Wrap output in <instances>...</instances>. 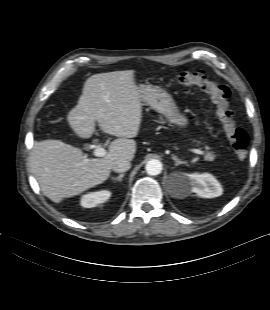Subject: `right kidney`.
Returning a JSON list of instances; mask_svg holds the SVG:
<instances>
[{"mask_svg": "<svg viewBox=\"0 0 270 310\" xmlns=\"http://www.w3.org/2000/svg\"><path fill=\"white\" fill-rule=\"evenodd\" d=\"M110 196L111 192L108 190L90 192L81 197V205L85 208L96 207L98 204L107 201Z\"/></svg>", "mask_w": 270, "mask_h": 310, "instance_id": "1", "label": "right kidney"}]
</instances>
